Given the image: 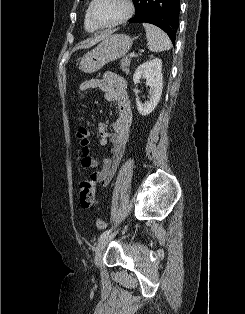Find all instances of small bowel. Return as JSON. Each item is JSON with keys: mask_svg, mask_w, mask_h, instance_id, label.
Listing matches in <instances>:
<instances>
[{"mask_svg": "<svg viewBox=\"0 0 245 314\" xmlns=\"http://www.w3.org/2000/svg\"><path fill=\"white\" fill-rule=\"evenodd\" d=\"M91 89L102 90L105 100L116 104L117 118L111 125L99 123L96 127L98 144L106 145L110 142L111 145V154L104 159H98L92 155L90 145L93 131L85 126L79 127L77 137L81 152L80 165L84 171L98 168V171L90 173L89 176L94 182L107 186L123 157L130 135L131 103L125 80L114 72H106L102 79L83 82L78 88V93H84Z\"/></svg>", "mask_w": 245, "mask_h": 314, "instance_id": "obj_1", "label": "small bowel"}]
</instances>
